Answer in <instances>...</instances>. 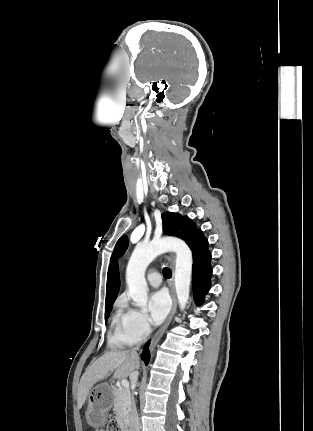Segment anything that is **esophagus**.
<instances>
[{
    "mask_svg": "<svg viewBox=\"0 0 313 431\" xmlns=\"http://www.w3.org/2000/svg\"><path fill=\"white\" fill-rule=\"evenodd\" d=\"M167 259L168 261L171 263L172 268H174V262H173V256L172 255H167ZM170 292H171V297H172V308H171V312L168 315L166 321L164 322V324L161 326V328L157 331V333L154 335L152 341H151V345L150 348H154L156 346V344L159 342V340L161 339L162 335L164 334L165 330L167 329V327L169 326L175 312L177 309V300H176V294H175V288H174V276L172 277L171 281H170Z\"/></svg>",
    "mask_w": 313,
    "mask_h": 431,
    "instance_id": "esophagus-1",
    "label": "esophagus"
}]
</instances>
